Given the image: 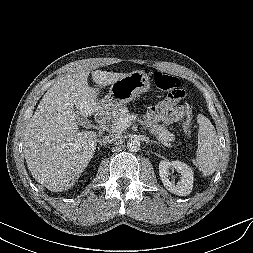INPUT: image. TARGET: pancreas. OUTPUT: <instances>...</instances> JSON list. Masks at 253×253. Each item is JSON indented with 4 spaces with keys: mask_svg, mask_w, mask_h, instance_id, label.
<instances>
[{
    "mask_svg": "<svg viewBox=\"0 0 253 253\" xmlns=\"http://www.w3.org/2000/svg\"><path fill=\"white\" fill-rule=\"evenodd\" d=\"M127 116H130V113L126 106H121L114 110L112 113L111 124L108 125L109 131L112 133H119L120 130L116 128L117 123L121 118ZM152 132L156 136L157 140L164 146L170 147L171 143L175 141L174 135L162 125H157Z\"/></svg>",
    "mask_w": 253,
    "mask_h": 253,
    "instance_id": "1",
    "label": "pancreas"
}]
</instances>
